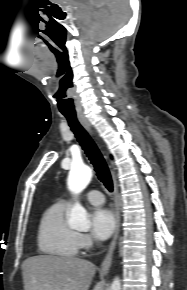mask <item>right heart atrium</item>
Here are the masks:
<instances>
[{"label":"right heart atrium","mask_w":187,"mask_h":290,"mask_svg":"<svg viewBox=\"0 0 187 290\" xmlns=\"http://www.w3.org/2000/svg\"><path fill=\"white\" fill-rule=\"evenodd\" d=\"M78 242L82 249H88L92 245V239L86 234H78Z\"/></svg>","instance_id":"d8ad5b80"}]
</instances>
